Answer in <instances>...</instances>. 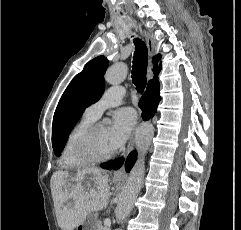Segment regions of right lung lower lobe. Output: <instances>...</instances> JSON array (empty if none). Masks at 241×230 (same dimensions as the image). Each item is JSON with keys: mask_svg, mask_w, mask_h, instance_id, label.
Returning <instances> with one entry per match:
<instances>
[{"mask_svg": "<svg viewBox=\"0 0 241 230\" xmlns=\"http://www.w3.org/2000/svg\"><path fill=\"white\" fill-rule=\"evenodd\" d=\"M160 84L156 80L147 85V90L139 101V107L142 110V117L144 120H148L156 113L157 106L161 100L160 97Z\"/></svg>", "mask_w": 241, "mask_h": 230, "instance_id": "1", "label": "right lung lower lobe"}]
</instances>
